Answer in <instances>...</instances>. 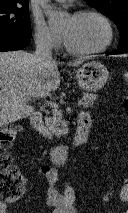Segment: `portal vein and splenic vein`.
I'll list each match as a JSON object with an SVG mask.
<instances>
[{
  "label": "portal vein and splenic vein",
  "instance_id": "1",
  "mask_svg": "<svg viewBox=\"0 0 128 213\" xmlns=\"http://www.w3.org/2000/svg\"><path fill=\"white\" fill-rule=\"evenodd\" d=\"M48 105H50L51 107H54V108H58V105L56 104V103H54V102H52V101H47L46 102ZM80 103V101H78V104Z\"/></svg>",
  "mask_w": 128,
  "mask_h": 213
}]
</instances>
